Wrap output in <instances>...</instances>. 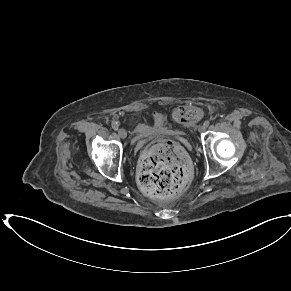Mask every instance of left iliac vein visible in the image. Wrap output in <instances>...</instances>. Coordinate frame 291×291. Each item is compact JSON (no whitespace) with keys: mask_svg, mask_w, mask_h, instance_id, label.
Instances as JSON below:
<instances>
[{"mask_svg":"<svg viewBox=\"0 0 291 291\" xmlns=\"http://www.w3.org/2000/svg\"><path fill=\"white\" fill-rule=\"evenodd\" d=\"M206 128H207L206 125L203 124L199 127L198 130H199V132H204L206 130Z\"/></svg>","mask_w":291,"mask_h":291,"instance_id":"4c4485c4","label":"left iliac vein"}]
</instances>
